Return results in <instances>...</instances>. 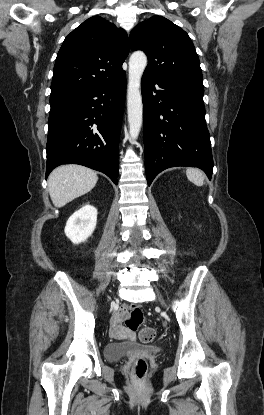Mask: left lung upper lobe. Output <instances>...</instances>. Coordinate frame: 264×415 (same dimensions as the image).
Instances as JSON below:
<instances>
[{
    "label": "left lung upper lobe",
    "instance_id": "obj_1",
    "mask_svg": "<svg viewBox=\"0 0 264 415\" xmlns=\"http://www.w3.org/2000/svg\"><path fill=\"white\" fill-rule=\"evenodd\" d=\"M133 51L143 50L148 57L146 74L174 83L203 87L198 55L188 34L162 16L139 23L129 37Z\"/></svg>",
    "mask_w": 264,
    "mask_h": 415
}]
</instances>
